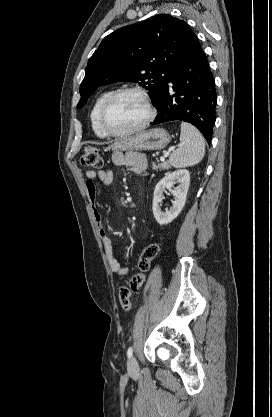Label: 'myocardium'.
<instances>
[{
    "instance_id": "1",
    "label": "myocardium",
    "mask_w": 272,
    "mask_h": 417,
    "mask_svg": "<svg viewBox=\"0 0 272 417\" xmlns=\"http://www.w3.org/2000/svg\"><path fill=\"white\" fill-rule=\"evenodd\" d=\"M124 94H134L137 95L138 97L141 98V100L143 101V103L145 104L146 110H147V116L146 118L137 126L124 131V132H114L111 131L107 128L106 123H105V117H106V113L108 108L110 107V105L112 104V102L118 98L121 95ZM156 112H155V108L151 102L150 97L148 96V94L137 87H125V88H121V89H117L115 91H113L104 101V103L102 104L100 111H99V126L102 130V132L106 135V136H110V137H116V138H120V137H127L130 135H133L135 133H138L140 131H142L143 129H145L155 118Z\"/></svg>"
}]
</instances>
